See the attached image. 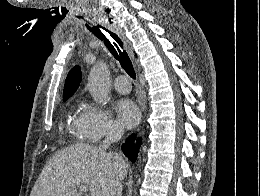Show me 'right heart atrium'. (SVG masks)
<instances>
[{
  "mask_svg": "<svg viewBox=\"0 0 260 196\" xmlns=\"http://www.w3.org/2000/svg\"><path fill=\"white\" fill-rule=\"evenodd\" d=\"M76 128L80 130H112L118 129V125L104 108L93 103H86L76 121ZM93 139L98 140V136H94Z\"/></svg>",
  "mask_w": 260,
  "mask_h": 196,
  "instance_id": "1",
  "label": "right heart atrium"
}]
</instances>
